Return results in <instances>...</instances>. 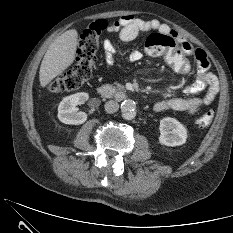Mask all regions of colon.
Segmentation results:
<instances>
[{
    "label": "colon",
    "instance_id": "colon-1",
    "mask_svg": "<svg viewBox=\"0 0 233 233\" xmlns=\"http://www.w3.org/2000/svg\"><path fill=\"white\" fill-rule=\"evenodd\" d=\"M108 29L105 20H97L91 23L81 34L77 57L74 67L48 84L50 92H66L80 89L93 75L94 64L99 49V37ZM145 50L151 56L161 57L166 64L176 73H187L190 70L188 57L182 52L181 47L170 34L153 33L145 42ZM214 117V112L208 110L197 120L200 128L208 127Z\"/></svg>",
    "mask_w": 233,
    "mask_h": 233
}]
</instances>
